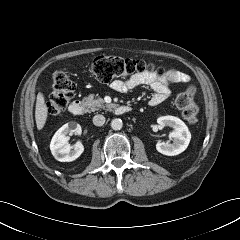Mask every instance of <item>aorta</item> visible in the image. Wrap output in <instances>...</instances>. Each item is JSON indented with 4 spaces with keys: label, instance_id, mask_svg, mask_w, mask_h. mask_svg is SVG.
Wrapping results in <instances>:
<instances>
[{
    "label": "aorta",
    "instance_id": "obj_1",
    "mask_svg": "<svg viewBox=\"0 0 240 240\" xmlns=\"http://www.w3.org/2000/svg\"><path fill=\"white\" fill-rule=\"evenodd\" d=\"M123 126L122 120L119 118H115L111 121V128L113 130H120Z\"/></svg>",
    "mask_w": 240,
    "mask_h": 240
}]
</instances>
